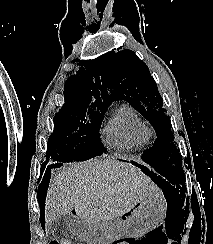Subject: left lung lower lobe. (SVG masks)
<instances>
[{
    "label": "left lung lower lobe",
    "instance_id": "1",
    "mask_svg": "<svg viewBox=\"0 0 213 244\" xmlns=\"http://www.w3.org/2000/svg\"><path fill=\"white\" fill-rule=\"evenodd\" d=\"M150 165L158 172V173H160L161 175H162V170L159 168V167H157L156 165H154V164H152V163H150ZM142 168H144V169H147L146 167H144V166H141ZM152 173V175L153 176H155V178L158 180V183L160 184V183H164V184H168L169 185V181L168 180H166V178H163L162 176H160V175H157V174H154L153 172H151Z\"/></svg>",
    "mask_w": 213,
    "mask_h": 244
}]
</instances>
